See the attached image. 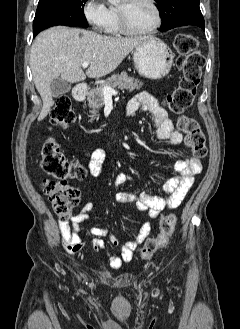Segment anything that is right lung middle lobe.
Segmentation results:
<instances>
[{"mask_svg":"<svg viewBox=\"0 0 240 329\" xmlns=\"http://www.w3.org/2000/svg\"><path fill=\"white\" fill-rule=\"evenodd\" d=\"M87 0H39L33 32L55 25L88 27L84 16Z\"/></svg>","mask_w":240,"mask_h":329,"instance_id":"right-lung-middle-lobe-1","label":"right lung middle lobe"}]
</instances>
